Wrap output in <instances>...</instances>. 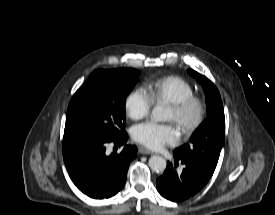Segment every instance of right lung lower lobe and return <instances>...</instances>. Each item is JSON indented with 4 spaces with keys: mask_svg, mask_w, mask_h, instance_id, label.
<instances>
[{
    "mask_svg": "<svg viewBox=\"0 0 275 215\" xmlns=\"http://www.w3.org/2000/svg\"><path fill=\"white\" fill-rule=\"evenodd\" d=\"M128 135L111 139L76 138L63 140V158L76 187L95 199L110 198L125 185L130 162L137 147L125 145L121 153L106 154V144L124 145Z\"/></svg>",
    "mask_w": 275,
    "mask_h": 215,
    "instance_id": "98d812e1",
    "label": "right lung lower lobe"
}]
</instances>
